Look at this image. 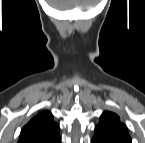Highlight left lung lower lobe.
<instances>
[{"mask_svg": "<svg viewBox=\"0 0 145 143\" xmlns=\"http://www.w3.org/2000/svg\"><path fill=\"white\" fill-rule=\"evenodd\" d=\"M92 143H106V142L103 141V140H101V139H98V138H96V137H93Z\"/></svg>", "mask_w": 145, "mask_h": 143, "instance_id": "left-lung-lower-lobe-1", "label": "left lung lower lobe"}]
</instances>
